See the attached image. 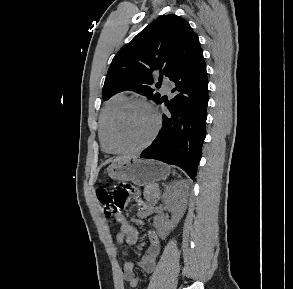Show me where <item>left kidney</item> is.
Returning a JSON list of instances; mask_svg holds the SVG:
<instances>
[{
    "label": "left kidney",
    "instance_id": "obj_1",
    "mask_svg": "<svg viewBox=\"0 0 293 289\" xmlns=\"http://www.w3.org/2000/svg\"><path fill=\"white\" fill-rule=\"evenodd\" d=\"M188 188L189 186L187 180H180L166 187L162 200L163 203L170 208L172 212V219L162 227L155 222L159 235L162 239L166 238L170 230L174 229L183 216L187 205Z\"/></svg>",
    "mask_w": 293,
    "mask_h": 289
}]
</instances>
